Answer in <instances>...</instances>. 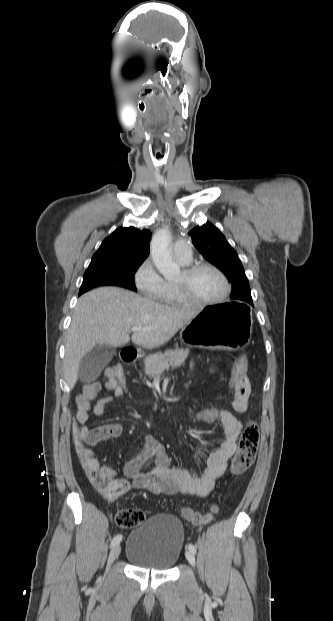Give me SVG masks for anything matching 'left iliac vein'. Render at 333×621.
Listing matches in <instances>:
<instances>
[{
	"label": "left iliac vein",
	"mask_w": 333,
	"mask_h": 621,
	"mask_svg": "<svg viewBox=\"0 0 333 621\" xmlns=\"http://www.w3.org/2000/svg\"><path fill=\"white\" fill-rule=\"evenodd\" d=\"M186 558L192 566H195V556L190 550L186 551Z\"/></svg>",
	"instance_id": "4c4485c4"
}]
</instances>
